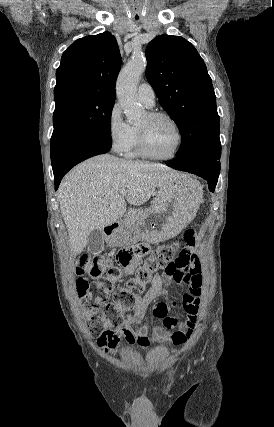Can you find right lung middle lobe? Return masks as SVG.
<instances>
[{
    "instance_id": "dd1d6c3e",
    "label": "right lung middle lobe",
    "mask_w": 274,
    "mask_h": 427,
    "mask_svg": "<svg viewBox=\"0 0 274 427\" xmlns=\"http://www.w3.org/2000/svg\"><path fill=\"white\" fill-rule=\"evenodd\" d=\"M115 96H86L65 99L55 106L51 137V163L69 150L93 140H111V113Z\"/></svg>"
}]
</instances>
